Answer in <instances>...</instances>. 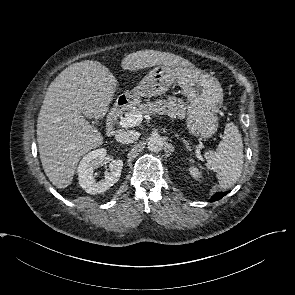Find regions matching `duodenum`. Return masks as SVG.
<instances>
[{
    "mask_svg": "<svg viewBox=\"0 0 295 295\" xmlns=\"http://www.w3.org/2000/svg\"><path fill=\"white\" fill-rule=\"evenodd\" d=\"M126 107V101L120 99L111 108L107 118V134L112 135L114 133V124L123 113Z\"/></svg>",
    "mask_w": 295,
    "mask_h": 295,
    "instance_id": "1",
    "label": "duodenum"
}]
</instances>
